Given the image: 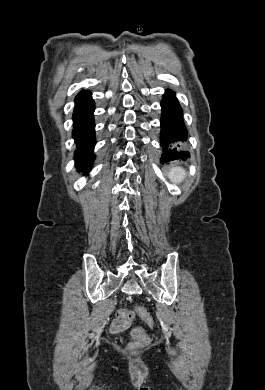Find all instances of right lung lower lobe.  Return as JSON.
I'll use <instances>...</instances> for the list:
<instances>
[{"instance_id":"98d812e1","label":"right lung lower lobe","mask_w":265,"mask_h":390,"mask_svg":"<svg viewBox=\"0 0 265 390\" xmlns=\"http://www.w3.org/2000/svg\"><path fill=\"white\" fill-rule=\"evenodd\" d=\"M94 109L91 93L85 90L81 91L75 98L73 138L77 144L76 165L83 173L89 172L94 159L93 148L96 143Z\"/></svg>"}]
</instances>
